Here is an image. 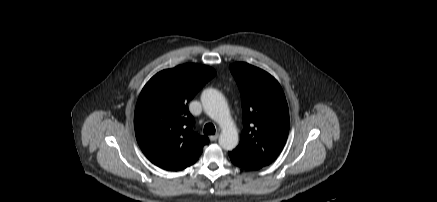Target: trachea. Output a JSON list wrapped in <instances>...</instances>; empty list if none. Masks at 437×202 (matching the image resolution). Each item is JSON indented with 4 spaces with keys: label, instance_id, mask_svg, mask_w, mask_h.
Returning <instances> with one entry per match:
<instances>
[{
    "label": "trachea",
    "instance_id": "1",
    "mask_svg": "<svg viewBox=\"0 0 437 202\" xmlns=\"http://www.w3.org/2000/svg\"><path fill=\"white\" fill-rule=\"evenodd\" d=\"M204 134L213 135L215 134V127L212 123H207L203 129Z\"/></svg>",
    "mask_w": 437,
    "mask_h": 202
}]
</instances>
